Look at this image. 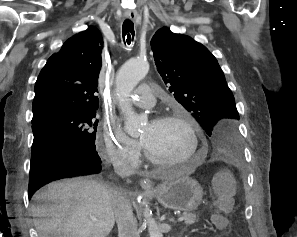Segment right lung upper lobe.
Listing matches in <instances>:
<instances>
[{"label": "right lung upper lobe", "mask_w": 297, "mask_h": 237, "mask_svg": "<svg viewBox=\"0 0 297 237\" xmlns=\"http://www.w3.org/2000/svg\"><path fill=\"white\" fill-rule=\"evenodd\" d=\"M101 42L100 32L90 27L48 59L35 83L32 122L55 112H95Z\"/></svg>", "instance_id": "cb5924a9"}]
</instances>
